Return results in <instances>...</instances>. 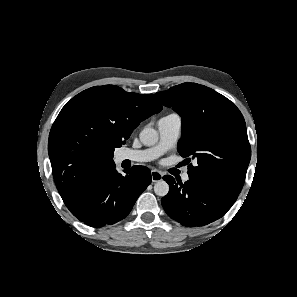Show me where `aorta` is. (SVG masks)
Wrapping results in <instances>:
<instances>
[{"label":"aorta","mask_w":297,"mask_h":297,"mask_svg":"<svg viewBox=\"0 0 297 297\" xmlns=\"http://www.w3.org/2000/svg\"><path fill=\"white\" fill-rule=\"evenodd\" d=\"M158 133L153 128H145L140 133V141L145 146H152L158 142ZM154 192L158 196H166L169 192V185L164 180H159L154 185Z\"/></svg>","instance_id":"1"}]
</instances>
